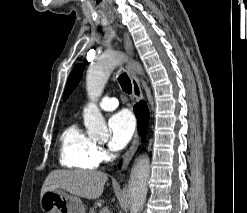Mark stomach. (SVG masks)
Returning a JSON list of instances; mask_svg holds the SVG:
<instances>
[{
  "label": "stomach",
  "mask_w": 247,
  "mask_h": 213,
  "mask_svg": "<svg viewBox=\"0 0 247 213\" xmlns=\"http://www.w3.org/2000/svg\"><path fill=\"white\" fill-rule=\"evenodd\" d=\"M40 207L44 213H86L83 202L61 190L41 194Z\"/></svg>",
  "instance_id": "0dacf381"
}]
</instances>
